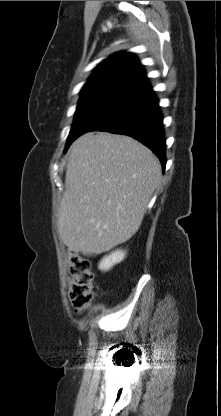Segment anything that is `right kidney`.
Returning a JSON list of instances; mask_svg holds the SVG:
<instances>
[{"label":"right kidney","instance_id":"right-kidney-1","mask_svg":"<svg viewBox=\"0 0 221 416\" xmlns=\"http://www.w3.org/2000/svg\"><path fill=\"white\" fill-rule=\"evenodd\" d=\"M126 256V252L117 250L102 259L99 264V269L107 271L111 269L115 264L120 263Z\"/></svg>","mask_w":221,"mask_h":416}]
</instances>
